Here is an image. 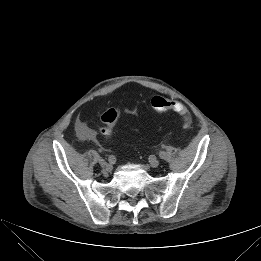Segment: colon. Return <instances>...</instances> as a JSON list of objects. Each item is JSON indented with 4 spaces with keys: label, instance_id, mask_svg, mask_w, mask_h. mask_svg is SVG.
I'll use <instances>...</instances> for the list:
<instances>
[{
    "label": "colon",
    "instance_id": "obj_1",
    "mask_svg": "<svg viewBox=\"0 0 261 261\" xmlns=\"http://www.w3.org/2000/svg\"><path fill=\"white\" fill-rule=\"evenodd\" d=\"M151 105L157 112L174 111L182 115L184 119L183 127L189 129L191 126V118L186 107L179 101L168 99L159 95L151 99ZM119 111L116 109L107 110L102 116L103 127L101 132L105 136H110L113 133V127L119 118Z\"/></svg>",
    "mask_w": 261,
    "mask_h": 261
}]
</instances>
